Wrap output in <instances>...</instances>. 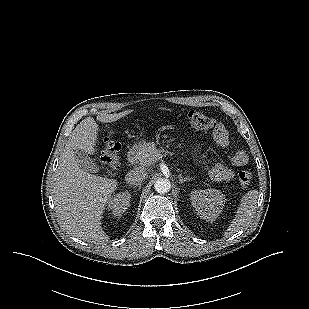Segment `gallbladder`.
Instances as JSON below:
<instances>
[{"instance_id":"gallbladder-1","label":"gallbladder","mask_w":309,"mask_h":309,"mask_svg":"<svg viewBox=\"0 0 309 309\" xmlns=\"http://www.w3.org/2000/svg\"><path fill=\"white\" fill-rule=\"evenodd\" d=\"M74 157L83 170L91 173H96L99 170V167L94 163V161L88 156V154L83 150H75Z\"/></svg>"}]
</instances>
